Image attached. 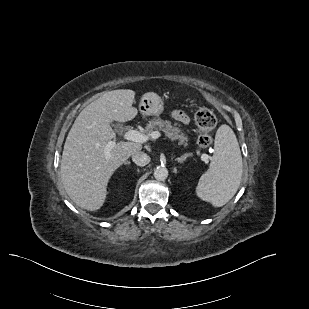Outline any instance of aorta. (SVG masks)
Segmentation results:
<instances>
[{
	"label": "aorta",
	"instance_id": "aorta-1",
	"mask_svg": "<svg viewBox=\"0 0 309 309\" xmlns=\"http://www.w3.org/2000/svg\"><path fill=\"white\" fill-rule=\"evenodd\" d=\"M154 177L156 180L164 181L168 177V170L165 166H158L154 170Z\"/></svg>",
	"mask_w": 309,
	"mask_h": 309
}]
</instances>
